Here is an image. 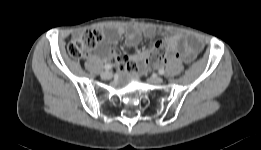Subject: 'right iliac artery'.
<instances>
[{
    "mask_svg": "<svg viewBox=\"0 0 261 150\" xmlns=\"http://www.w3.org/2000/svg\"><path fill=\"white\" fill-rule=\"evenodd\" d=\"M104 68H105L106 70H110V69L112 68V66H111L110 64H106V65L104 66Z\"/></svg>",
    "mask_w": 261,
    "mask_h": 150,
    "instance_id": "right-iliac-artery-1",
    "label": "right iliac artery"
}]
</instances>
